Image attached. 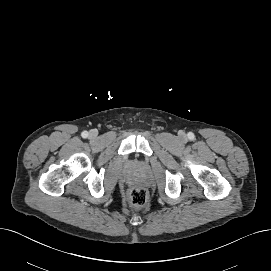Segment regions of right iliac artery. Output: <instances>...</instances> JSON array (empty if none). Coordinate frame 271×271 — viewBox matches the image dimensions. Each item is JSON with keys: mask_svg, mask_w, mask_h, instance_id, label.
Masks as SVG:
<instances>
[{"mask_svg": "<svg viewBox=\"0 0 271 271\" xmlns=\"http://www.w3.org/2000/svg\"><path fill=\"white\" fill-rule=\"evenodd\" d=\"M81 135H82L83 138H87L88 137V132L87 131H83Z\"/></svg>", "mask_w": 271, "mask_h": 271, "instance_id": "right-iliac-artery-1", "label": "right iliac artery"}]
</instances>
